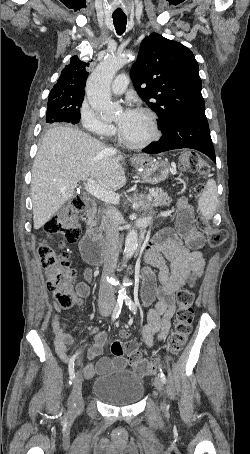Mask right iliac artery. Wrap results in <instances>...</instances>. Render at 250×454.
<instances>
[{"label": "right iliac artery", "instance_id": "right-iliac-artery-1", "mask_svg": "<svg viewBox=\"0 0 250 454\" xmlns=\"http://www.w3.org/2000/svg\"><path fill=\"white\" fill-rule=\"evenodd\" d=\"M122 304H123V299H118L117 300V303H116V306L113 310V313H112V320H116L121 312V308H122ZM80 352H77L75 355H73L71 358H70V362H69V378H70V381H69V384L71 385L74 378H75V371H74V361H75V358L76 356L79 354Z\"/></svg>", "mask_w": 250, "mask_h": 454}]
</instances>
